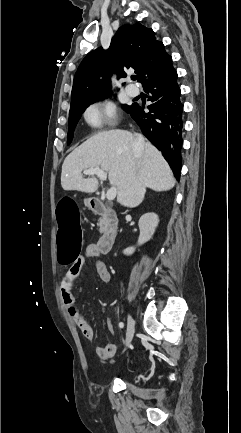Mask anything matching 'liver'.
I'll use <instances>...</instances> for the list:
<instances>
[{"mask_svg":"<svg viewBox=\"0 0 241 433\" xmlns=\"http://www.w3.org/2000/svg\"><path fill=\"white\" fill-rule=\"evenodd\" d=\"M134 140L135 136L125 130L103 131L92 136L65 158L62 188L94 193L98 180L83 178L82 171L100 168L108 173L109 184L117 189V202L125 207L138 206L146 188L159 192L172 189L175 178L162 154L151 143L144 142L138 165L133 152Z\"/></svg>","mask_w":241,"mask_h":433,"instance_id":"liver-1","label":"liver"}]
</instances>
